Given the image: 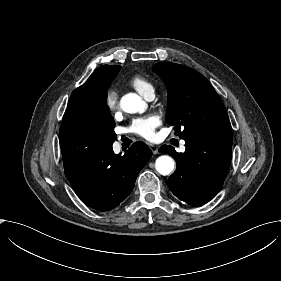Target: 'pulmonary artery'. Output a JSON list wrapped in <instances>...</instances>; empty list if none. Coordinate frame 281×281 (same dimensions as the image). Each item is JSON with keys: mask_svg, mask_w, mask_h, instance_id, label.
Instances as JSON below:
<instances>
[{"mask_svg": "<svg viewBox=\"0 0 281 281\" xmlns=\"http://www.w3.org/2000/svg\"><path fill=\"white\" fill-rule=\"evenodd\" d=\"M154 99V93L153 92H149L147 95H146V100L148 101H152ZM113 151L115 154H118L119 151H120V147L118 145H115L113 147Z\"/></svg>", "mask_w": 281, "mask_h": 281, "instance_id": "1", "label": "pulmonary artery"}]
</instances>
